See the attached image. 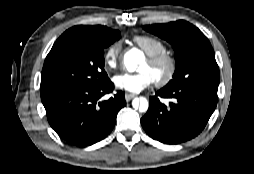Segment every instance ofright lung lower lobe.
<instances>
[{
    "label": "right lung lower lobe",
    "instance_id": "right-lung-lower-lobe-1",
    "mask_svg": "<svg viewBox=\"0 0 254 174\" xmlns=\"http://www.w3.org/2000/svg\"><path fill=\"white\" fill-rule=\"evenodd\" d=\"M113 89L108 79L99 86L70 88L41 96L49 124L64 141L76 146L104 139L114 128L117 113L126 105L122 91L100 101Z\"/></svg>",
    "mask_w": 254,
    "mask_h": 174
}]
</instances>
